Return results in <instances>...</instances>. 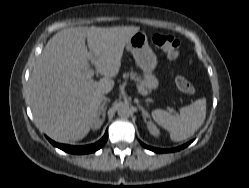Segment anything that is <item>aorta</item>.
Here are the masks:
<instances>
[{
    "label": "aorta",
    "instance_id": "aorta-1",
    "mask_svg": "<svg viewBox=\"0 0 249 188\" xmlns=\"http://www.w3.org/2000/svg\"><path fill=\"white\" fill-rule=\"evenodd\" d=\"M117 114L121 118H128L131 115V109L126 105H122L118 108Z\"/></svg>",
    "mask_w": 249,
    "mask_h": 188
}]
</instances>
